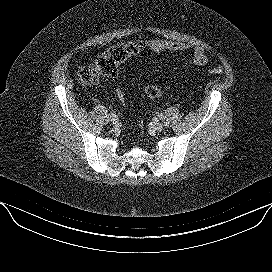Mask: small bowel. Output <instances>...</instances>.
Listing matches in <instances>:
<instances>
[{
  "mask_svg": "<svg viewBox=\"0 0 272 272\" xmlns=\"http://www.w3.org/2000/svg\"><path fill=\"white\" fill-rule=\"evenodd\" d=\"M147 47L155 53L163 52H179L190 48L189 43L184 41H175L170 39L151 40L147 43ZM208 63V57L203 48L195 47L192 49L191 58L188 65L205 66Z\"/></svg>",
  "mask_w": 272,
  "mask_h": 272,
  "instance_id": "c3829d8e",
  "label": "small bowel"
}]
</instances>
